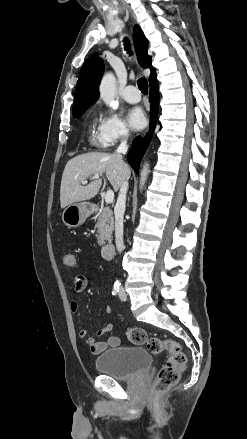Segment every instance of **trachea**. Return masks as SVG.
<instances>
[{"label": "trachea", "instance_id": "obj_1", "mask_svg": "<svg viewBox=\"0 0 247 439\" xmlns=\"http://www.w3.org/2000/svg\"><path fill=\"white\" fill-rule=\"evenodd\" d=\"M124 44H125V49L128 51V53H131L129 41L127 40V38L124 39ZM138 87L143 94H148V82L146 78L142 77L138 80Z\"/></svg>", "mask_w": 247, "mask_h": 439}]
</instances>
